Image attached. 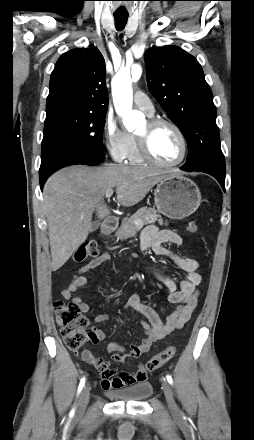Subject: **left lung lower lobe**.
Instances as JSON below:
<instances>
[{"label": "left lung lower lobe", "instance_id": "left-lung-lower-lobe-1", "mask_svg": "<svg viewBox=\"0 0 254 440\" xmlns=\"http://www.w3.org/2000/svg\"><path fill=\"white\" fill-rule=\"evenodd\" d=\"M180 169L184 170V171H201V172L208 173V174L214 176L218 180V182L221 184L222 188L225 189V172H223L217 168L199 167V168L187 169V168L181 167Z\"/></svg>", "mask_w": 254, "mask_h": 440}]
</instances>
